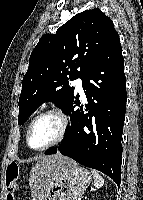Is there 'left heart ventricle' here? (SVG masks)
I'll list each match as a JSON object with an SVG mask.
<instances>
[{
  "mask_svg": "<svg viewBox=\"0 0 143 200\" xmlns=\"http://www.w3.org/2000/svg\"><path fill=\"white\" fill-rule=\"evenodd\" d=\"M61 123L55 116H45L37 120L29 135L30 145L34 148H40L53 141L59 134Z\"/></svg>",
  "mask_w": 143,
  "mask_h": 200,
  "instance_id": "obj_1",
  "label": "left heart ventricle"
}]
</instances>
